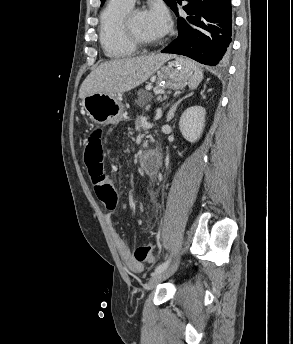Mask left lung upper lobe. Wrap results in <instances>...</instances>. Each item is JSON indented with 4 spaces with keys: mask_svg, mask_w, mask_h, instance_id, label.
Wrapping results in <instances>:
<instances>
[{
    "mask_svg": "<svg viewBox=\"0 0 293 344\" xmlns=\"http://www.w3.org/2000/svg\"><path fill=\"white\" fill-rule=\"evenodd\" d=\"M105 0H101V6L103 5ZM165 3L172 9L175 5V0H164Z\"/></svg>",
    "mask_w": 293,
    "mask_h": 344,
    "instance_id": "5c2ea615",
    "label": "left lung upper lobe"
}]
</instances>
